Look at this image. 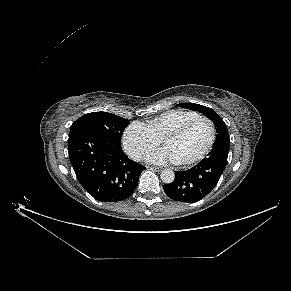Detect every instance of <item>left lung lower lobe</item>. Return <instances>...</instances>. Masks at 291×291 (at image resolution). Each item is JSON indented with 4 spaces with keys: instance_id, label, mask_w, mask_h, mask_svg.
<instances>
[{
    "instance_id": "1",
    "label": "left lung lower lobe",
    "mask_w": 291,
    "mask_h": 291,
    "mask_svg": "<svg viewBox=\"0 0 291 291\" xmlns=\"http://www.w3.org/2000/svg\"><path fill=\"white\" fill-rule=\"evenodd\" d=\"M230 142L214 143L212 151L200 163L186 171H176L172 183L163 185L173 200L194 203L208 195L217 185L226 164Z\"/></svg>"
}]
</instances>
